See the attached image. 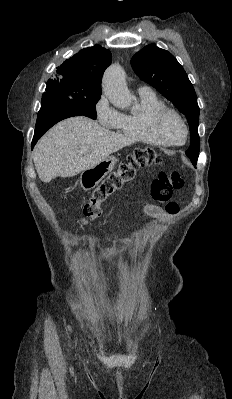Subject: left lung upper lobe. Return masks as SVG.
Segmentation results:
<instances>
[{"instance_id": "obj_1", "label": "left lung upper lobe", "mask_w": 232, "mask_h": 399, "mask_svg": "<svg viewBox=\"0 0 232 399\" xmlns=\"http://www.w3.org/2000/svg\"><path fill=\"white\" fill-rule=\"evenodd\" d=\"M135 73L156 88L183 113L190 127V147L185 154L196 166L199 156V106L197 96L183 67L168 51L150 44L131 59Z\"/></svg>"}]
</instances>
